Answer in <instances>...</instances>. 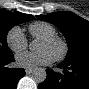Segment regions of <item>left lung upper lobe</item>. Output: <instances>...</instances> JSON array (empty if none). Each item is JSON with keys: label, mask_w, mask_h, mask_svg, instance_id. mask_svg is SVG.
Listing matches in <instances>:
<instances>
[{"label": "left lung upper lobe", "mask_w": 89, "mask_h": 89, "mask_svg": "<svg viewBox=\"0 0 89 89\" xmlns=\"http://www.w3.org/2000/svg\"><path fill=\"white\" fill-rule=\"evenodd\" d=\"M38 19L57 26L66 38L68 52L63 62L89 57V22L71 12H54Z\"/></svg>", "instance_id": "1"}]
</instances>
